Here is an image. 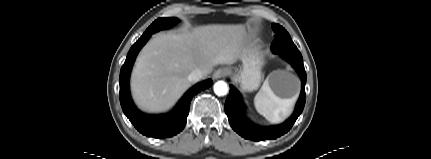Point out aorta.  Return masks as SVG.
Here are the masks:
<instances>
[{
    "mask_svg": "<svg viewBox=\"0 0 431 159\" xmlns=\"http://www.w3.org/2000/svg\"><path fill=\"white\" fill-rule=\"evenodd\" d=\"M214 92L218 96H224L228 92V85L224 81H218L214 84Z\"/></svg>",
    "mask_w": 431,
    "mask_h": 159,
    "instance_id": "aorta-1",
    "label": "aorta"
}]
</instances>
